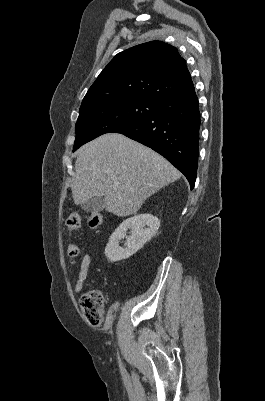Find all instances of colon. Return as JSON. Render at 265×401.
Instances as JSON below:
<instances>
[{
    "mask_svg": "<svg viewBox=\"0 0 265 401\" xmlns=\"http://www.w3.org/2000/svg\"><path fill=\"white\" fill-rule=\"evenodd\" d=\"M82 216L78 212H72L66 221L67 228L76 231L81 226ZM102 222V215L99 212H91L88 215V223L92 228L98 227ZM79 254V246L72 242L68 246V255L72 258ZM81 309L86 322L90 325H100L104 319L105 298L99 289L86 292L80 301Z\"/></svg>",
    "mask_w": 265,
    "mask_h": 401,
    "instance_id": "colon-1",
    "label": "colon"
}]
</instances>
